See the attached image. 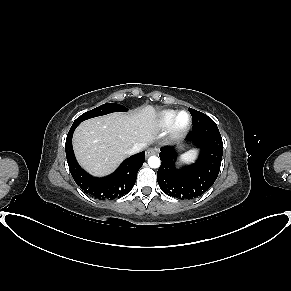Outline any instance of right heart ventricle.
Wrapping results in <instances>:
<instances>
[{
    "mask_svg": "<svg viewBox=\"0 0 291 291\" xmlns=\"http://www.w3.org/2000/svg\"><path fill=\"white\" fill-rule=\"evenodd\" d=\"M175 113H176V111H174V110L161 111L157 115V118H156L157 127L160 129H164V128L169 127L171 120H172Z\"/></svg>",
    "mask_w": 291,
    "mask_h": 291,
    "instance_id": "e07e8e85",
    "label": "right heart ventricle"
}]
</instances>
